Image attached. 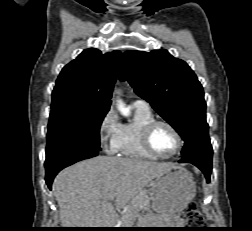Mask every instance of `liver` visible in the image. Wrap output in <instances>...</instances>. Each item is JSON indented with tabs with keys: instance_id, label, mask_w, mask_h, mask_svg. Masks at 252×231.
Wrapping results in <instances>:
<instances>
[{
	"instance_id": "liver-1",
	"label": "liver",
	"mask_w": 252,
	"mask_h": 231,
	"mask_svg": "<svg viewBox=\"0 0 252 231\" xmlns=\"http://www.w3.org/2000/svg\"><path fill=\"white\" fill-rule=\"evenodd\" d=\"M173 164L137 158L98 156L62 170L53 182L61 225L65 228H112L116 210L127 207L130 218L134 198ZM116 195V209L108 197Z\"/></svg>"
}]
</instances>
